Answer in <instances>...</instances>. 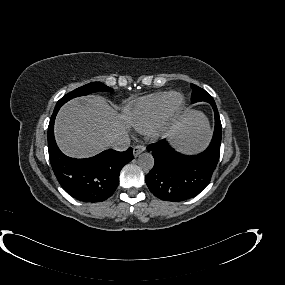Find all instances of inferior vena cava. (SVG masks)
<instances>
[{
  "label": "inferior vena cava",
  "mask_w": 285,
  "mask_h": 285,
  "mask_svg": "<svg viewBox=\"0 0 285 285\" xmlns=\"http://www.w3.org/2000/svg\"><path fill=\"white\" fill-rule=\"evenodd\" d=\"M129 146H130V138L125 133H121L114 136L108 142V147L116 151H125Z\"/></svg>",
  "instance_id": "1"
}]
</instances>
